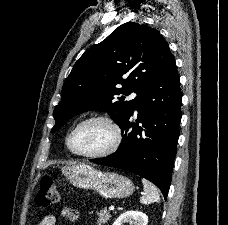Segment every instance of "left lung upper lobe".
Segmentation results:
<instances>
[{
	"label": "left lung upper lobe",
	"mask_w": 228,
	"mask_h": 225,
	"mask_svg": "<svg viewBox=\"0 0 228 225\" xmlns=\"http://www.w3.org/2000/svg\"><path fill=\"white\" fill-rule=\"evenodd\" d=\"M172 56L158 30L136 22L120 25L75 63L53 112L56 124L52 132L87 110L108 112L120 126L137 97ZM132 92L138 95L134 100L124 101V97L117 100L118 95Z\"/></svg>",
	"instance_id": "left-lung-upper-lobe-1"
}]
</instances>
